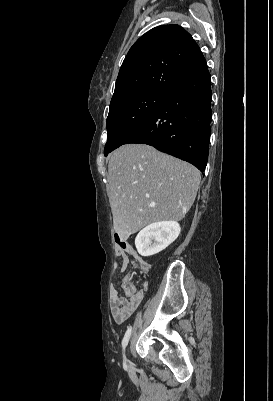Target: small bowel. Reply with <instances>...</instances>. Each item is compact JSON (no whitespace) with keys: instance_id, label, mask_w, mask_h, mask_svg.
Masks as SVG:
<instances>
[{"instance_id":"obj_1","label":"small bowel","mask_w":273,"mask_h":401,"mask_svg":"<svg viewBox=\"0 0 273 401\" xmlns=\"http://www.w3.org/2000/svg\"><path fill=\"white\" fill-rule=\"evenodd\" d=\"M119 245H124L126 251L129 254L127 260H120L114 263L113 266V275H116L120 272L125 271L122 267L124 261H133L136 267L137 261H145L139 255L136 254L134 249L127 243L122 242ZM118 256V254H117ZM123 278H132L130 275H125ZM145 284V290H139L138 284H125L123 286V290H117L114 286L110 289L111 295V313L114 321L117 324L125 323L138 309L140 304L143 303L144 299L148 298L149 293L146 291L148 285ZM128 293V301L129 303H125V293Z\"/></svg>"}]
</instances>
